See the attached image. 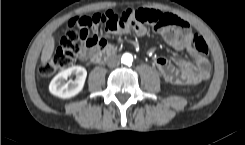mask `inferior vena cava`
I'll return each mask as SVG.
<instances>
[{"mask_svg":"<svg viewBox=\"0 0 245 145\" xmlns=\"http://www.w3.org/2000/svg\"><path fill=\"white\" fill-rule=\"evenodd\" d=\"M120 64V59L118 56H113L108 59L107 65L111 68L116 67Z\"/></svg>","mask_w":245,"mask_h":145,"instance_id":"obj_1","label":"inferior vena cava"}]
</instances>
